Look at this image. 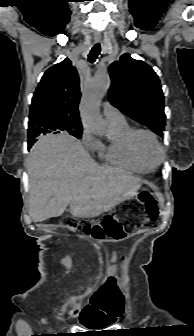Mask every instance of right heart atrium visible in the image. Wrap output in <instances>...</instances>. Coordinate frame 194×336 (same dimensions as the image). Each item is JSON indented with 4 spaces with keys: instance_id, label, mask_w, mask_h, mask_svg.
I'll use <instances>...</instances> for the list:
<instances>
[{
    "instance_id": "obj_1",
    "label": "right heart atrium",
    "mask_w": 194,
    "mask_h": 336,
    "mask_svg": "<svg viewBox=\"0 0 194 336\" xmlns=\"http://www.w3.org/2000/svg\"><path fill=\"white\" fill-rule=\"evenodd\" d=\"M82 141L87 149L91 151L97 150L99 141L86 129L82 133Z\"/></svg>"
}]
</instances>
